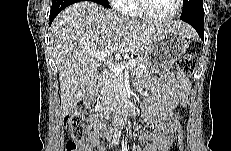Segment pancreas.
Masks as SVG:
<instances>
[{"instance_id":"obj_1","label":"pancreas","mask_w":231,"mask_h":151,"mask_svg":"<svg viewBox=\"0 0 231 151\" xmlns=\"http://www.w3.org/2000/svg\"><path fill=\"white\" fill-rule=\"evenodd\" d=\"M137 64L132 68V74L137 78L149 76L150 69L146 66L143 58L136 59ZM123 87V79L119 75L111 71L105 73V76L100 84L101 102L104 106H113L120 102L119 90Z\"/></svg>"}]
</instances>
